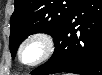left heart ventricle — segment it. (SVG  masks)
Listing matches in <instances>:
<instances>
[{"mask_svg":"<svg viewBox=\"0 0 102 75\" xmlns=\"http://www.w3.org/2000/svg\"><path fill=\"white\" fill-rule=\"evenodd\" d=\"M41 51H42L41 44L38 42H32L27 46V48L25 50L24 58H25V60H28L33 56H39Z\"/></svg>","mask_w":102,"mask_h":75,"instance_id":"obj_1","label":"left heart ventricle"}]
</instances>
